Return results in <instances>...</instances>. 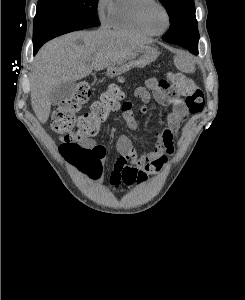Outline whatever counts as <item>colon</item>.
<instances>
[{"instance_id":"obj_1","label":"colon","mask_w":245,"mask_h":300,"mask_svg":"<svg viewBox=\"0 0 245 300\" xmlns=\"http://www.w3.org/2000/svg\"><path fill=\"white\" fill-rule=\"evenodd\" d=\"M175 89L185 96L186 106L191 114H198L204 108V93L195 82L180 72L168 75ZM91 95L87 82L75 86L71 97L63 101L55 110L52 118V129L61 136L60 153L81 171L96 178L101 172V163L94 149L83 145L94 137L110 114L117 110L123 97L121 87L112 84L95 102L90 111L76 117L78 109L85 104ZM77 125V129L75 126ZM145 178H141L143 181Z\"/></svg>"}]
</instances>
